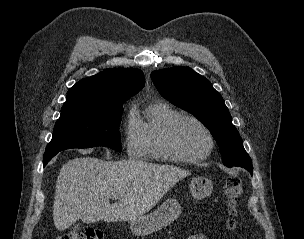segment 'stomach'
<instances>
[{
    "mask_svg": "<svg viewBox=\"0 0 304 239\" xmlns=\"http://www.w3.org/2000/svg\"><path fill=\"white\" fill-rule=\"evenodd\" d=\"M189 188L195 199H203L212 193L213 185L208 178L199 176L191 180ZM181 212L182 208L177 200L167 199L153 213L130 220V230L137 236L151 234L173 222Z\"/></svg>",
    "mask_w": 304,
    "mask_h": 239,
    "instance_id": "obj_1",
    "label": "stomach"
}]
</instances>
